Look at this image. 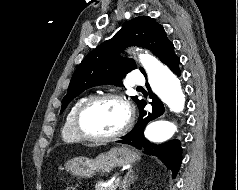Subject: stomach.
Here are the masks:
<instances>
[{
    "label": "stomach",
    "mask_w": 238,
    "mask_h": 190,
    "mask_svg": "<svg viewBox=\"0 0 238 190\" xmlns=\"http://www.w3.org/2000/svg\"><path fill=\"white\" fill-rule=\"evenodd\" d=\"M140 159L139 154L130 148L114 147L107 153L99 154L95 159L75 157L66 164L67 170L78 177L90 178L96 173L107 174L116 167H122Z\"/></svg>",
    "instance_id": "obj_1"
}]
</instances>
